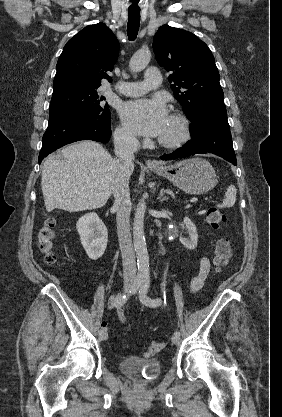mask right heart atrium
<instances>
[{
	"mask_svg": "<svg viewBox=\"0 0 282 417\" xmlns=\"http://www.w3.org/2000/svg\"><path fill=\"white\" fill-rule=\"evenodd\" d=\"M116 142L120 147L134 150L137 146L135 137L125 128L119 127L115 133Z\"/></svg>",
	"mask_w": 282,
	"mask_h": 417,
	"instance_id": "right-heart-atrium-1",
	"label": "right heart atrium"
}]
</instances>
